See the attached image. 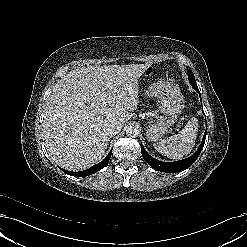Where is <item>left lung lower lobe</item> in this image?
I'll list each match as a JSON object with an SVG mask.
<instances>
[{
  "label": "left lung lower lobe",
  "instance_id": "0a47b994",
  "mask_svg": "<svg viewBox=\"0 0 247 247\" xmlns=\"http://www.w3.org/2000/svg\"><path fill=\"white\" fill-rule=\"evenodd\" d=\"M190 84L199 93V96H200V92H199V89L197 87L196 82H190ZM206 133H207V129L205 131V134L203 136L202 143L200 144L198 150L192 156H190L187 159L179 160V161H176V162H161L159 160H156L152 156H150L146 152V150L143 147H141L142 156H143L144 160L152 168H154V169H156L158 171L167 172V173L181 172V171L187 169L188 167H190L193 164V162L198 158L201 150L203 149L204 143H205Z\"/></svg>",
  "mask_w": 247,
  "mask_h": 247
}]
</instances>
